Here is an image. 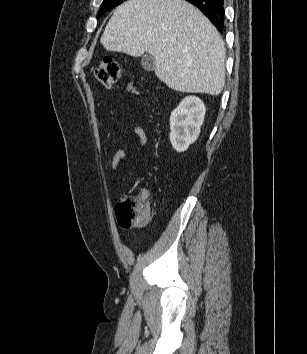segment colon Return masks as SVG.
<instances>
[{
  "label": "colon",
  "mask_w": 307,
  "mask_h": 354,
  "mask_svg": "<svg viewBox=\"0 0 307 354\" xmlns=\"http://www.w3.org/2000/svg\"><path fill=\"white\" fill-rule=\"evenodd\" d=\"M94 76L103 86L109 88L122 77L120 64L113 58H105L94 70ZM153 208L149 193L136 196L124 195L115 206L118 224L125 229L144 226Z\"/></svg>",
  "instance_id": "obj_1"
}]
</instances>
